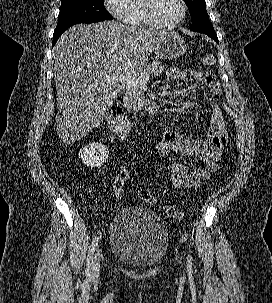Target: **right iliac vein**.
Here are the masks:
<instances>
[{
    "mask_svg": "<svg viewBox=\"0 0 272 303\" xmlns=\"http://www.w3.org/2000/svg\"><path fill=\"white\" fill-rule=\"evenodd\" d=\"M100 251L99 249L96 250L94 259L92 261V266H91V270L89 273V277L90 279H95L98 277L99 275V271H100Z\"/></svg>",
    "mask_w": 272,
    "mask_h": 303,
    "instance_id": "obj_1",
    "label": "right iliac vein"
}]
</instances>
